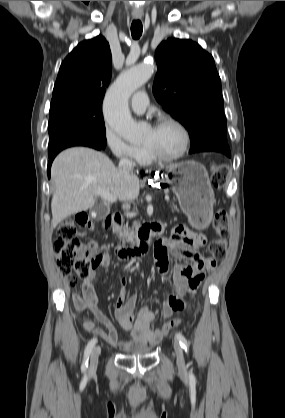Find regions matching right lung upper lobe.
<instances>
[{"mask_svg":"<svg viewBox=\"0 0 285 418\" xmlns=\"http://www.w3.org/2000/svg\"><path fill=\"white\" fill-rule=\"evenodd\" d=\"M112 73L111 51L99 35L78 44L62 62L51 104L71 102L102 105Z\"/></svg>","mask_w":285,"mask_h":418,"instance_id":"obj_1","label":"right lung upper lobe"}]
</instances>
